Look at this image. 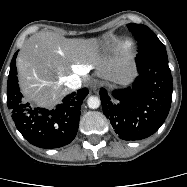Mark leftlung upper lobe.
I'll return each mask as SVG.
<instances>
[{
  "instance_id": "left-lung-upper-lobe-1",
  "label": "left lung upper lobe",
  "mask_w": 187,
  "mask_h": 187,
  "mask_svg": "<svg viewBox=\"0 0 187 187\" xmlns=\"http://www.w3.org/2000/svg\"><path fill=\"white\" fill-rule=\"evenodd\" d=\"M128 29L140 44L139 53L168 58L165 46L149 27L142 24H128Z\"/></svg>"
}]
</instances>
